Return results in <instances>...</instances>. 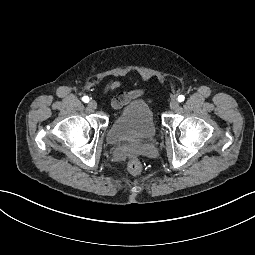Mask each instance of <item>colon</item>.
<instances>
[{
	"mask_svg": "<svg viewBox=\"0 0 255 255\" xmlns=\"http://www.w3.org/2000/svg\"><path fill=\"white\" fill-rule=\"evenodd\" d=\"M128 170L134 176L139 175L142 171V166L140 161L137 159H131L128 163Z\"/></svg>",
	"mask_w": 255,
	"mask_h": 255,
	"instance_id": "obj_1",
	"label": "colon"
}]
</instances>
